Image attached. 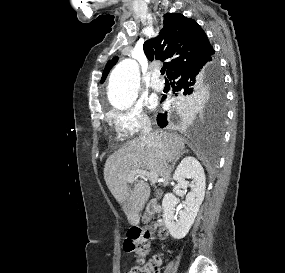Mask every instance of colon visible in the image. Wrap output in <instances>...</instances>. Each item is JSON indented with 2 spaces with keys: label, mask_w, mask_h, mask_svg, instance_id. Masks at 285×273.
Returning <instances> with one entry per match:
<instances>
[{
  "label": "colon",
  "mask_w": 285,
  "mask_h": 273,
  "mask_svg": "<svg viewBox=\"0 0 285 273\" xmlns=\"http://www.w3.org/2000/svg\"><path fill=\"white\" fill-rule=\"evenodd\" d=\"M159 236H164L165 231L160 230ZM151 233L141 229L134 230L123 242L124 250L137 258V265L129 273H158L161 267L159 258L144 263V258L149 252V239Z\"/></svg>",
  "instance_id": "5ec220e1"
}]
</instances>
